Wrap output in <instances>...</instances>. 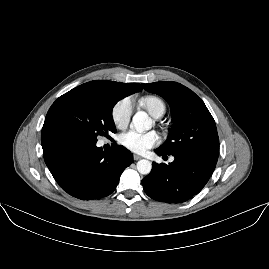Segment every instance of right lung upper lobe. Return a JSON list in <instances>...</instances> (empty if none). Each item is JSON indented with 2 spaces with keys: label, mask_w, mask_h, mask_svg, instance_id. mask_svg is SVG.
I'll list each match as a JSON object with an SVG mask.
<instances>
[{
  "label": "right lung upper lobe",
  "mask_w": 269,
  "mask_h": 269,
  "mask_svg": "<svg viewBox=\"0 0 269 269\" xmlns=\"http://www.w3.org/2000/svg\"><path fill=\"white\" fill-rule=\"evenodd\" d=\"M76 88L109 94L121 99L142 90L141 85L138 83H121L103 80L90 81Z\"/></svg>",
  "instance_id": "right-lung-upper-lobe-1"
}]
</instances>
